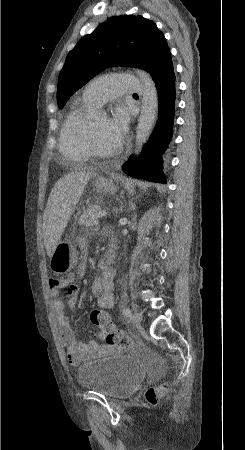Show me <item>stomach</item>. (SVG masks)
<instances>
[{"mask_svg":"<svg viewBox=\"0 0 245 450\" xmlns=\"http://www.w3.org/2000/svg\"><path fill=\"white\" fill-rule=\"evenodd\" d=\"M94 186L98 191L105 193H115L117 185L112 179L98 177L94 181ZM77 262V252L75 247L67 241H60L50 258V268L54 273L63 274L69 272Z\"/></svg>","mask_w":245,"mask_h":450,"instance_id":"0dacf381","label":"stomach"}]
</instances>
